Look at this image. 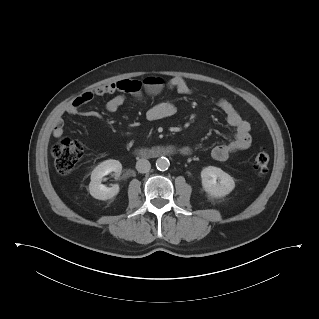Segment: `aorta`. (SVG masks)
Instances as JSON below:
<instances>
[{"label": "aorta", "mask_w": 319, "mask_h": 319, "mask_svg": "<svg viewBox=\"0 0 319 319\" xmlns=\"http://www.w3.org/2000/svg\"><path fill=\"white\" fill-rule=\"evenodd\" d=\"M170 162L166 157H161L156 160V167L160 171H165L169 168Z\"/></svg>", "instance_id": "762f6f07"}]
</instances>
